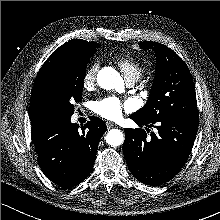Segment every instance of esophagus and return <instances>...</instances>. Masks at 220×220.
<instances>
[{
  "instance_id": "1",
  "label": "esophagus",
  "mask_w": 220,
  "mask_h": 220,
  "mask_svg": "<svg viewBox=\"0 0 220 220\" xmlns=\"http://www.w3.org/2000/svg\"><path fill=\"white\" fill-rule=\"evenodd\" d=\"M106 126H107V128L110 129V128L116 126V124H114L113 122L107 121V122H106Z\"/></svg>"
}]
</instances>
